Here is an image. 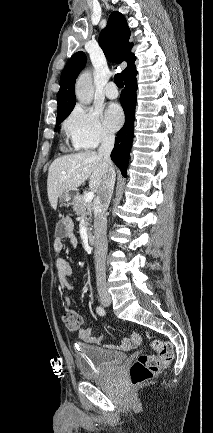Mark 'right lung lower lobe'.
Instances as JSON below:
<instances>
[{"label":"right lung lower lobe","mask_w":213,"mask_h":433,"mask_svg":"<svg viewBox=\"0 0 213 433\" xmlns=\"http://www.w3.org/2000/svg\"><path fill=\"white\" fill-rule=\"evenodd\" d=\"M137 70L134 68L124 76L125 89L121 93L120 103L125 113V124L117 133L111 152L112 161L119 167L124 177L127 176L129 152L134 137V112L136 105Z\"/></svg>","instance_id":"obj_1"}]
</instances>
